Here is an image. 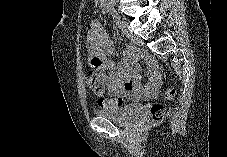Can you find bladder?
<instances>
[{"instance_id": "31cf9c89", "label": "bladder", "mask_w": 227, "mask_h": 157, "mask_svg": "<svg viewBox=\"0 0 227 157\" xmlns=\"http://www.w3.org/2000/svg\"><path fill=\"white\" fill-rule=\"evenodd\" d=\"M142 112V105L135 103L117 107L98 108L94 110V113L97 116L124 125L135 122L142 115Z\"/></svg>"}]
</instances>
